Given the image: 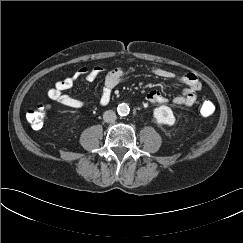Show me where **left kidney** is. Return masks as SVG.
Returning <instances> with one entry per match:
<instances>
[{"instance_id":"obj_1","label":"left kidney","mask_w":243,"mask_h":243,"mask_svg":"<svg viewBox=\"0 0 243 243\" xmlns=\"http://www.w3.org/2000/svg\"><path fill=\"white\" fill-rule=\"evenodd\" d=\"M153 116L158 124H165L172 126L175 123V116L173 111L168 106H160L154 109Z\"/></svg>"}]
</instances>
